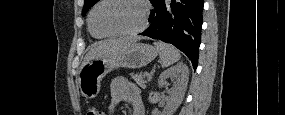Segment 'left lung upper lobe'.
<instances>
[{"label":"left lung upper lobe","instance_id":"1","mask_svg":"<svg viewBox=\"0 0 285 115\" xmlns=\"http://www.w3.org/2000/svg\"><path fill=\"white\" fill-rule=\"evenodd\" d=\"M97 2L98 0H85L84 7L82 10V15L84 16L87 13V11Z\"/></svg>","mask_w":285,"mask_h":115}]
</instances>
